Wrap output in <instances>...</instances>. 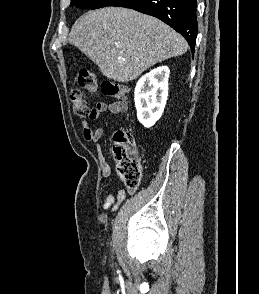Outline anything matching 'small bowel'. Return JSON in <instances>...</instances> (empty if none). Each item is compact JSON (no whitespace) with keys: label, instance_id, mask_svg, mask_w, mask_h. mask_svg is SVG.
<instances>
[{"label":"small bowel","instance_id":"small-bowel-1","mask_svg":"<svg viewBox=\"0 0 259 294\" xmlns=\"http://www.w3.org/2000/svg\"><path fill=\"white\" fill-rule=\"evenodd\" d=\"M127 110V104L125 102L117 101L113 103L98 102L96 106L92 109L90 119H97L103 114H119ZM82 132L83 137L86 141L93 142L96 144V151L101 163V173L104 178H107L111 174L110 165L104 158L103 150L100 145V140L104 135V130L102 128L92 129L86 120L82 121ZM126 193L123 189H118L115 194H108L103 202L104 209H110L115 211L118 205L124 200Z\"/></svg>","mask_w":259,"mask_h":294}]
</instances>
